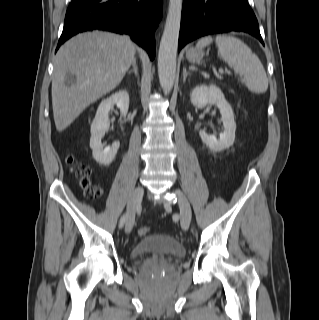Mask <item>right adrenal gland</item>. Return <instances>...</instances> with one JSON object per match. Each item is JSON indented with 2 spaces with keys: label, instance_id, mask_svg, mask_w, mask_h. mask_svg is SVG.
<instances>
[{
  "label": "right adrenal gland",
  "instance_id": "2a0ac1e0",
  "mask_svg": "<svg viewBox=\"0 0 319 320\" xmlns=\"http://www.w3.org/2000/svg\"><path fill=\"white\" fill-rule=\"evenodd\" d=\"M132 66H133V69L130 70L128 73L130 74V73L134 72L135 75L138 76V68H137V65H136V58H134Z\"/></svg>",
  "mask_w": 319,
  "mask_h": 320
}]
</instances>
